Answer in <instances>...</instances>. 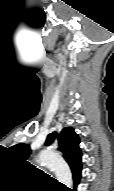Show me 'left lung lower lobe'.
I'll return each mask as SVG.
<instances>
[{"label": "left lung lower lobe", "mask_w": 114, "mask_h": 191, "mask_svg": "<svg viewBox=\"0 0 114 191\" xmlns=\"http://www.w3.org/2000/svg\"><path fill=\"white\" fill-rule=\"evenodd\" d=\"M81 170H82V164H79L78 166H76L75 168L72 169L73 179H74V183H75L74 191H76V186L80 181Z\"/></svg>", "instance_id": "1"}]
</instances>
